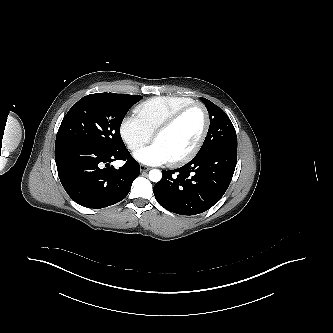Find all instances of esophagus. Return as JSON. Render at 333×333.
Returning a JSON list of instances; mask_svg holds the SVG:
<instances>
[{
	"mask_svg": "<svg viewBox=\"0 0 333 333\" xmlns=\"http://www.w3.org/2000/svg\"><path fill=\"white\" fill-rule=\"evenodd\" d=\"M149 170H150V168L147 167V166H145V165H141V166H140V171H141V172H147V171H149Z\"/></svg>",
	"mask_w": 333,
	"mask_h": 333,
	"instance_id": "34e87169",
	"label": "esophagus"
}]
</instances>
